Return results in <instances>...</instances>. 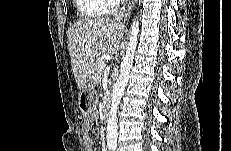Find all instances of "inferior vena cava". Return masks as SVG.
<instances>
[{"label":"inferior vena cava","mask_w":231,"mask_h":151,"mask_svg":"<svg viewBox=\"0 0 231 151\" xmlns=\"http://www.w3.org/2000/svg\"><path fill=\"white\" fill-rule=\"evenodd\" d=\"M125 0H119V3L122 5L119 10L114 14V19L119 21L121 17L124 16L126 12V7H125Z\"/></svg>","instance_id":"1"}]
</instances>
